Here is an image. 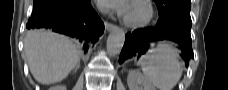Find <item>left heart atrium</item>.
<instances>
[{
  "label": "left heart atrium",
  "mask_w": 228,
  "mask_h": 90,
  "mask_svg": "<svg viewBox=\"0 0 228 90\" xmlns=\"http://www.w3.org/2000/svg\"><path fill=\"white\" fill-rule=\"evenodd\" d=\"M128 5L126 3H122L116 6V9L118 10V12L122 15L125 16L127 9H128Z\"/></svg>",
  "instance_id": "1"
}]
</instances>
